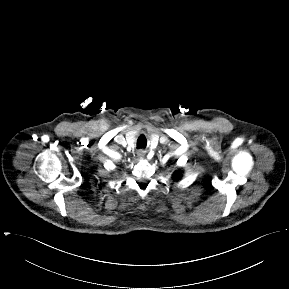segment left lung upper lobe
Returning <instances> with one entry per match:
<instances>
[{
    "instance_id": "1",
    "label": "left lung upper lobe",
    "mask_w": 289,
    "mask_h": 289,
    "mask_svg": "<svg viewBox=\"0 0 289 289\" xmlns=\"http://www.w3.org/2000/svg\"><path fill=\"white\" fill-rule=\"evenodd\" d=\"M180 177H181V171L179 170L174 173L173 179L178 180Z\"/></svg>"
}]
</instances>
